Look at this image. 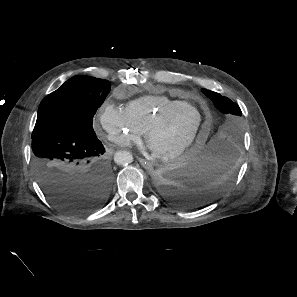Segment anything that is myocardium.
<instances>
[{
    "label": "myocardium",
    "instance_id": "obj_1",
    "mask_svg": "<svg viewBox=\"0 0 297 297\" xmlns=\"http://www.w3.org/2000/svg\"><path fill=\"white\" fill-rule=\"evenodd\" d=\"M188 108L195 110L199 115V122L197 124V127H196L194 133L191 135V137L188 140H186L182 145H180L178 148H176L174 150H170V151L162 152V153L154 152V155L159 160L164 161V162L171 161V160L181 156L183 153H185L186 150H188L193 144H195V142L197 141V139L199 137V134H200L203 122H204L203 112L200 109H198L197 107H195L194 105L187 103L183 106H180V107H177L174 109H169V110L162 112L161 114L156 116L151 121V123L146 127V129L144 131V138H145L146 143L149 145L150 136L155 130L160 128L166 121L177 116L182 111H184L185 109H188Z\"/></svg>",
    "mask_w": 297,
    "mask_h": 297
}]
</instances>
